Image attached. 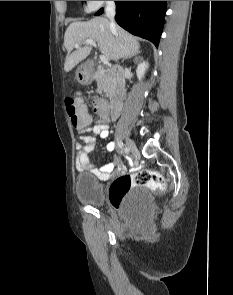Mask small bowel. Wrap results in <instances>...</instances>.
Instances as JSON below:
<instances>
[{
    "mask_svg": "<svg viewBox=\"0 0 233 295\" xmlns=\"http://www.w3.org/2000/svg\"><path fill=\"white\" fill-rule=\"evenodd\" d=\"M81 134V143H77L76 148L78 150L76 169L79 172H91L99 180H108L112 174L123 169L122 162L119 158H116L114 162H110L102 166L101 168H94L89 159V153L93 150L96 138L100 137L106 139L109 136V122L106 120L101 123H97L93 126H88L78 129ZM91 132L90 136L86 134ZM116 147L114 141H110L106 150L112 152Z\"/></svg>",
    "mask_w": 233,
    "mask_h": 295,
    "instance_id": "1",
    "label": "small bowel"
}]
</instances>
